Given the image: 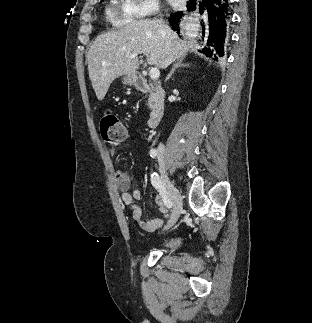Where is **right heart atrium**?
<instances>
[{
  "mask_svg": "<svg viewBox=\"0 0 312 323\" xmlns=\"http://www.w3.org/2000/svg\"><path fill=\"white\" fill-rule=\"evenodd\" d=\"M122 17H132V22H141V17H154L161 13L163 2L159 0H126L122 2Z\"/></svg>",
  "mask_w": 312,
  "mask_h": 323,
  "instance_id": "1",
  "label": "right heart atrium"
}]
</instances>
